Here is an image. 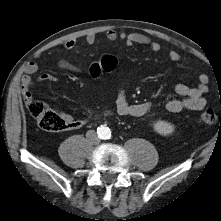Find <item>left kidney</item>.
Segmentation results:
<instances>
[{
    "label": "left kidney",
    "instance_id": "obj_1",
    "mask_svg": "<svg viewBox=\"0 0 221 221\" xmlns=\"http://www.w3.org/2000/svg\"><path fill=\"white\" fill-rule=\"evenodd\" d=\"M154 130L160 135L167 136L174 132L175 126L167 121L159 120L154 123Z\"/></svg>",
    "mask_w": 221,
    "mask_h": 221
}]
</instances>
